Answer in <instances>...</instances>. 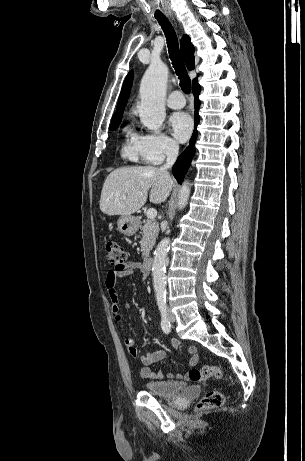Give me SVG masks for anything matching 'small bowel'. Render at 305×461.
Segmentation results:
<instances>
[{
    "mask_svg": "<svg viewBox=\"0 0 305 461\" xmlns=\"http://www.w3.org/2000/svg\"><path fill=\"white\" fill-rule=\"evenodd\" d=\"M137 271L140 272L141 277L144 279L147 275L146 271L142 267L139 262L136 261H129L126 263L125 267L121 270H110L105 278V287L108 292L109 299L112 304V311L115 315L116 321L120 322L123 320V310L126 305L122 302L118 289H117V281L120 278H126L133 276ZM172 346L177 349L179 347V341L177 339H172L171 341ZM124 344L127 347L129 354L132 357L138 356V349L135 346V338L132 335H127L124 338ZM187 352L191 355L189 359V366H195L199 362V356L197 355V348L193 345L187 348ZM166 356L164 350H156L152 352H147L140 357L141 360V368L139 370V374L143 378L149 379H161L163 378V373L160 371H154L151 369V365L163 360ZM170 378H179V379H187L188 373H170Z\"/></svg>",
    "mask_w": 305,
    "mask_h": 461,
    "instance_id": "1",
    "label": "small bowel"
}]
</instances>
